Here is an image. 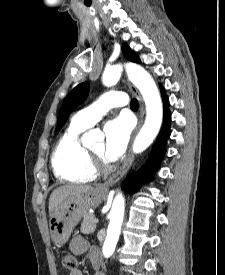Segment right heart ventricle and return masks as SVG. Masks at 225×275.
Returning a JSON list of instances; mask_svg holds the SVG:
<instances>
[{"instance_id":"right-heart-ventricle-1","label":"right heart ventricle","mask_w":225,"mask_h":275,"mask_svg":"<svg viewBox=\"0 0 225 275\" xmlns=\"http://www.w3.org/2000/svg\"><path fill=\"white\" fill-rule=\"evenodd\" d=\"M85 129L86 127L71 123L53 150L52 168L56 177L61 180L86 183L96 178L97 173L91 167L88 150L80 140Z\"/></svg>"}]
</instances>
